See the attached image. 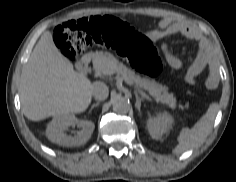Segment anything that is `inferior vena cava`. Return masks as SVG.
<instances>
[{
	"label": "inferior vena cava",
	"instance_id": "602c4592",
	"mask_svg": "<svg viewBox=\"0 0 236 182\" xmlns=\"http://www.w3.org/2000/svg\"><path fill=\"white\" fill-rule=\"evenodd\" d=\"M92 95L96 100L103 101L107 99L109 90L103 82H94L92 88Z\"/></svg>",
	"mask_w": 236,
	"mask_h": 182
}]
</instances>
